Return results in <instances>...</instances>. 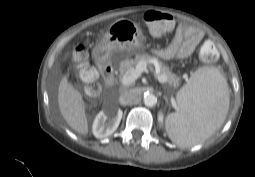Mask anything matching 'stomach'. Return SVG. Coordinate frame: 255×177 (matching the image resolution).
Here are the masks:
<instances>
[{"instance_id": "obj_1", "label": "stomach", "mask_w": 255, "mask_h": 177, "mask_svg": "<svg viewBox=\"0 0 255 177\" xmlns=\"http://www.w3.org/2000/svg\"><path fill=\"white\" fill-rule=\"evenodd\" d=\"M146 38L140 26L129 19L113 22L96 46L100 60L121 59L140 54L145 49Z\"/></svg>"}]
</instances>
